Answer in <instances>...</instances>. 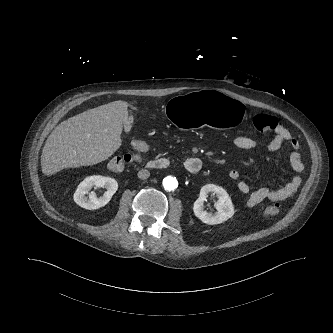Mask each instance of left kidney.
I'll list each match as a JSON object with an SVG mask.
<instances>
[{"instance_id":"5707ae66","label":"left kidney","mask_w":333,"mask_h":333,"mask_svg":"<svg viewBox=\"0 0 333 333\" xmlns=\"http://www.w3.org/2000/svg\"><path fill=\"white\" fill-rule=\"evenodd\" d=\"M209 193H215L218 198L215 213H208L203 207ZM193 211L197 218L208 225L223 223L234 215L233 203L228 193L222 187L214 184H207L201 188L199 198L194 202Z\"/></svg>"}]
</instances>
